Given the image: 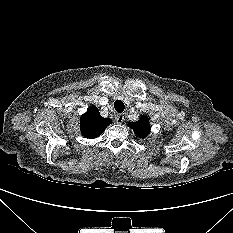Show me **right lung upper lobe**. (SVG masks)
<instances>
[{"instance_id":"obj_1","label":"right lung upper lobe","mask_w":233,"mask_h":233,"mask_svg":"<svg viewBox=\"0 0 233 233\" xmlns=\"http://www.w3.org/2000/svg\"><path fill=\"white\" fill-rule=\"evenodd\" d=\"M111 119L101 117L96 106L89 107L87 112L81 116L80 128L85 138L94 139L102 134Z\"/></svg>"}]
</instances>
